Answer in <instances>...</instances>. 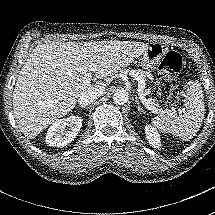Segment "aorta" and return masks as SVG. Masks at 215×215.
I'll use <instances>...</instances> for the list:
<instances>
[{
  "label": "aorta",
  "instance_id": "762f6f07",
  "mask_svg": "<svg viewBox=\"0 0 215 215\" xmlns=\"http://www.w3.org/2000/svg\"><path fill=\"white\" fill-rule=\"evenodd\" d=\"M113 101L115 104L124 105L129 101V94L126 90L118 89L113 94Z\"/></svg>",
  "mask_w": 215,
  "mask_h": 215
}]
</instances>
